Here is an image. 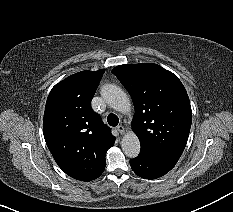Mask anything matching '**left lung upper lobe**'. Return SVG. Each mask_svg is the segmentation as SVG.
<instances>
[{"mask_svg":"<svg viewBox=\"0 0 233 212\" xmlns=\"http://www.w3.org/2000/svg\"><path fill=\"white\" fill-rule=\"evenodd\" d=\"M112 73L132 97L135 114L131 125L141 151L177 162L192 122L190 101L181 81L151 63L120 65Z\"/></svg>","mask_w":233,"mask_h":212,"instance_id":"5c2ea615","label":"left lung upper lobe"}]
</instances>
